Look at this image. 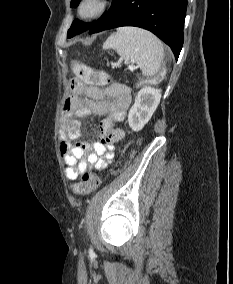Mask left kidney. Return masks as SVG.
<instances>
[{
  "label": "left kidney",
  "mask_w": 233,
  "mask_h": 284,
  "mask_svg": "<svg viewBox=\"0 0 233 284\" xmlns=\"http://www.w3.org/2000/svg\"><path fill=\"white\" fill-rule=\"evenodd\" d=\"M161 99V90L144 86L137 94L128 114V123L133 131H140L151 119Z\"/></svg>",
  "instance_id": "1"
}]
</instances>
